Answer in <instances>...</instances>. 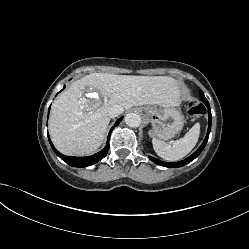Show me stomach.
Here are the masks:
<instances>
[{
	"mask_svg": "<svg viewBox=\"0 0 249 249\" xmlns=\"http://www.w3.org/2000/svg\"><path fill=\"white\" fill-rule=\"evenodd\" d=\"M151 122L149 135L154 139L168 140L178 134L184 126V117L176 108L146 106L142 109Z\"/></svg>",
	"mask_w": 249,
	"mask_h": 249,
	"instance_id": "obj_1",
	"label": "stomach"
}]
</instances>
